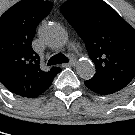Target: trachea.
Returning a JSON list of instances; mask_svg holds the SVG:
<instances>
[{
	"label": "trachea",
	"instance_id": "trachea-1",
	"mask_svg": "<svg viewBox=\"0 0 135 135\" xmlns=\"http://www.w3.org/2000/svg\"><path fill=\"white\" fill-rule=\"evenodd\" d=\"M67 62H69L68 58L64 54L58 53L49 59L47 66L67 63Z\"/></svg>",
	"mask_w": 135,
	"mask_h": 135
}]
</instances>
